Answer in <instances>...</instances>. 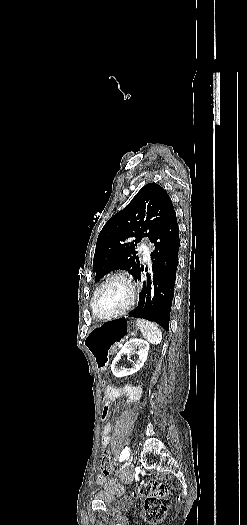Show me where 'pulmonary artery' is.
<instances>
[{"label":"pulmonary artery","mask_w":247,"mask_h":525,"mask_svg":"<svg viewBox=\"0 0 247 525\" xmlns=\"http://www.w3.org/2000/svg\"><path fill=\"white\" fill-rule=\"evenodd\" d=\"M138 250L140 252V257L143 260L144 265L146 266L151 265L152 260L150 258L151 257L150 253H152V247L150 246L149 239L147 237L142 239V242Z\"/></svg>","instance_id":"pulmonary-artery-1"}]
</instances>
